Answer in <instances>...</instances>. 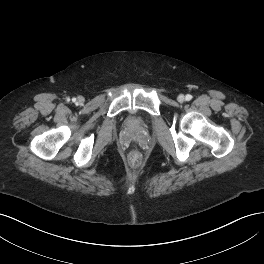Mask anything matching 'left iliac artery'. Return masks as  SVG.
Here are the masks:
<instances>
[{
	"instance_id": "44dca946",
	"label": "left iliac artery",
	"mask_w": 264,
	"mask_h": 264,
	"mask_svg": "<svg viewBox=\"0 0 264 264\" xmlns=\"http://www.w3.org/2000/svg\"><path fill=\"white\" fill-rule=\"evenodd\" d=\"M191 99H192V96H191L190 94H187V95H186V100H187V101H190Z\"/></svg>"
}]
</instances>
